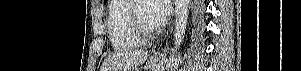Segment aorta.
Instances as JSON below:
<instances>
[{
  "label": "aorta",
  "instance_id": "1",
  "mask_svg": "<svg viewBox=\"0 0 301 71\" xmlns=\"http://www.w3.org/2000/svg\"><path fill=\"white\" fill-rule=\"evenodd\" d=\"M189 3L190 0H175L174 44L176 50L180 47L184 39L188 20Z\"/></svg>",
  "mask_w": 301,
  "mask_h": 71
}]
</instances>
